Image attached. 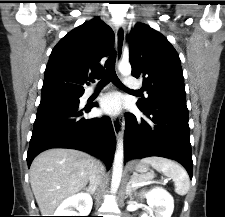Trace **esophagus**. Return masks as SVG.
Instances as JSON below:
<instances>
[{"instance_id":"obj_1","label":"esophagus","mask_w":225,"mask_h":217,"mask_svg":"<svg viewBox=\"0 0 225 217\" xmlns=\"http://www.w3.org/2000/svg\"><path fill=\"white\" fill-rule=\"evenodd\" d=\"M115 41H116V62L119 63L122 58L125 41V27L123 25L117 26L115 33ZM112 125L116 137L119 138L123 131V123L121 122V119L117 117L113 118Z\"/></svg>"}]
</instances>
